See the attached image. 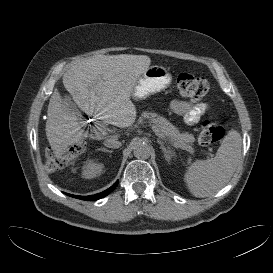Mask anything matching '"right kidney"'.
Returning a JSON list of instances; mask_svg holds the SVG:
<instances>
[{
	"mask_svg": "<svg viewBox=\"0 0 273 273\" xmlns=\"http://www.w3.org/2000/svg\"><path fill=\"white\" fill-rule=\"evenodd\" d=\"M103 165L97 161H90L87 163L83 170V175L86 178H93L102 172Z\"/></svg>",
	"mask_w": 273,
	"mask_h": 273,
	"instance_id": "ca27d5eb",
	"label": "right kidney"
}]
</instances>
